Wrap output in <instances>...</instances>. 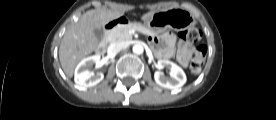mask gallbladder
<instances>
[{
  "mask_svg": "<svg viewBox=\"0 0 276 120\" xmlns=\"http://www.w3.org/2000/svg\"><path fill=\"white\" fill-rule=\"evenodd\" d=\"M94 34L99 40H101L104 36V32L101 28L95 29Z\"/></svg>",
  "mask_w": 276,
  "mask_h": 120,
  "instance_id": "gallbladder-1",
  "label": "gallbladder"
}]
</instances>
